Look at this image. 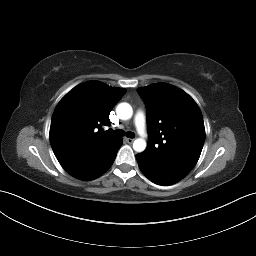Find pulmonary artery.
Segmentation results:
<instances>
[{
	"instance_id": "e3ab8cb5",
	"label": "pulmonary artery",
	"mask_w": 256,
	"mask_h": 256,
	"mask_svg": "<svg viewBox=\"0 0 256 256\" xmlns=\"http://www.w3.org/2000/svg\"><path fill=\"white\" fill-rule=\"evenodd\" d=\"M134 124L137 128V131L142 137H147L146 133V120L145 115L141 111H137L134 116Z\"/></svg>"
}]
</instances>
